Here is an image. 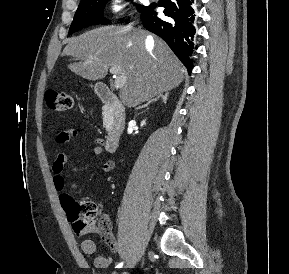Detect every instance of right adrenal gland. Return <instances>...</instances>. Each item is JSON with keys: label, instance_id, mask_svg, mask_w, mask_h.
<instances>
[{"label": "right adrenal gland", "instance_id": "2a0ac1e0", "mask_svg": "<svg viewBox=\"0 0 289 274\" xmlns=\"http://www.w3.org/2000/svg\"><path fill=\"white\" fill-rule=\"evenodd\" d=\"M168 95H169L168 91L165 92L164 95L163 94L157 95L156 97L150 99L146 104L139 106L136 109H142V108L148 107V105H150L152 102H156L158 99H162L163 103L166 104Z\"/></svg>", "mask_w": 289, "mask_h": 274}]
</instances>
